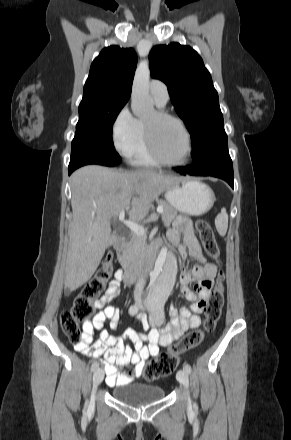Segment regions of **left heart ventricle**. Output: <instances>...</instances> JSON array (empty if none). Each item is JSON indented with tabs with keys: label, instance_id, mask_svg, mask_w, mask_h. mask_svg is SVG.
Wrapping results in <instances>:
<instances>
[{
	"label": "left heart ventricle",
	"instance_id": "left-heart-ventricle-1",
	"mask_svg": "<svg viewBox=\"0 0 291 440\" xmlns=\"http://www.w3.org/2000/svg\"><path fill=\"white\" fill-rule=\"evenodd\" d=\"M144 122L152 128L156 147L165 160L180 162L185 158L186 137L176 122L157 118L155 111L149 114Z\"/></svg>",
	"mask_w": 291,
	"mask_h": 440
}]
</instances>
